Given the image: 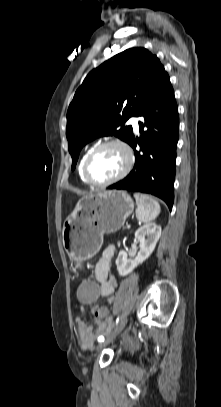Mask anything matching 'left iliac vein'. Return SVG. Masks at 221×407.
<instances>
[{
    "instance_id": "left-iliac-vein-1",
    "label": "left iliac vein",
    "mask_w": 221,
    "mask_h": 407,
    "mask_svg": "<svg viewBox=\"0 0 221 407\" xmlns=\"http://www.w3.org/2000/svg\"><path fill=\"white\" fill-rule=\"evenodd\" d=\"M126 323H127V318H124V319L120 322L119 326L115 329V331H114L113 333L107 335V338H106L105 341L99 343V345H98V347H97V350H98V351L101 350V349H102L105 345H107L112 339H114V338L123 330V328L125 327Z\"/></svg>"
}]
</instances>
